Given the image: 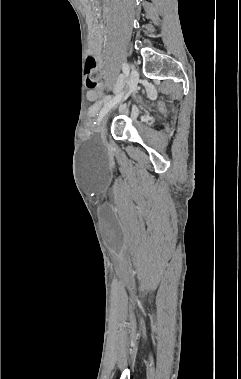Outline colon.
Instances as JSON below:
<instances>
[{"instance_id":"colon-1","label":"colon","mask_w":241,"mask_h":379,"mask_svg":"<svg viewBox=\"0 0 241 379\" xmlns=\"http://www.w3.org/2000/svg\"><path fill=\"white\" fill-rule=\"evenodd\" d=\"M130 62H135V57H130ZM85 73H86V85L95 86L97 85L100 73L97 66L96 59L93 56H88L85 64ZM98 92L101 96H104L110 92L108 87H100ZM171 107V106H170Z\"/></svg>"}]
</instances>
